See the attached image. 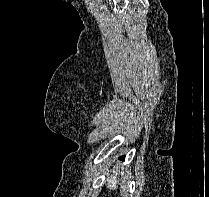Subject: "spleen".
<instances>
[{"instance_id":"1","label":"spleen","mask_w":209,"mask_h":197,"mask_svg":"<svg viewBox=\"0 0 209 197\" xmlns=\"http://www.w3.org/2000/svg\"><path fill=\"white\" fill-rule=\"evenodd\" d=\"M117 184H118V180H117V178H116L115 176L112 177L111 180H108V188H109L110 190H115V189H117Z\"/></svg>"}]
</instances>
